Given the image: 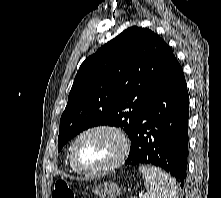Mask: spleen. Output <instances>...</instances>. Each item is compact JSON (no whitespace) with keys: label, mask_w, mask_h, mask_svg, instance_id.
I'll return each mask as SVG.
<instances>
[{"label":"spleen","mask_w":221,"mask_h":198,"mask_svg":"<svg viewBox=\"0 0 221 198\" xmlns=\"http://www.w3.org/2000/svg\"><path fill=\"white\" fill-rule=\"evenodd\" d=\"M147 193L144 198H178L174 179L165 171L151 165L139 166Z\"/></svg>","instance_id":"spleen-1"}]
</instances>
